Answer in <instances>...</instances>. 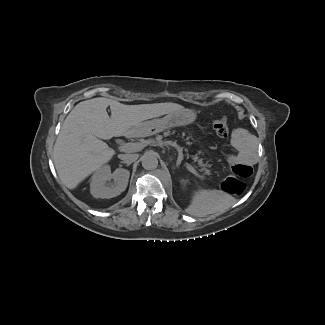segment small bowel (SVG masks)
I'll return each instance as SVG.
<instances>
[{
  "mask_svg": "<svg viewBox=\"0 0 325 325\" xmlns=\"http://www.w3.org/2000/svg\"><path fill=\"white\" fill-rule=\"evenodd\" d=\"M238 155H239V156H241V155H242L240 151H238Z\"/></svg>",
  "mask_w": 325,
  "mask_h": 325,
  "instance_id": "c3829d8e",
  "label": "small bowel"
}]
</instances>
